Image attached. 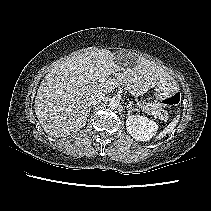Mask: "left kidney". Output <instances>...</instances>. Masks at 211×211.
I'll use <instances>...</instances> for the list:
<instances>
[{
	"mask_svg": "<svg viewBox=\"0 0 211 211\" xmlns=\"http://www.w3.org/2000/svg\"><path fill=\"white\" fill-rule=\"evenodd\" d=\"M126 128L135 140L149 141L158 130V125L145 116L131 115L127 117Z\"/></svg>",
	"mask_w": 211,
	"mask_h": 211,
	"instance_id": "obj_1",
	"label": "left kidney"
}]
</instances>
